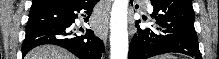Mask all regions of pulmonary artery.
I'll list each match as a JSON object with an SVG mask.
<instances>
[{
    "mask_svg": "<svg viewBox=\"0 0 219 59\" xmlns=\"http://www.w3.org/2000/svg\"><path fill=\"white\" fill-rule=\"evenodd\" d=\"M143 3H144V6H145L146 10L150 11L151 10L150 5L148 4L149 1H143Z\"/></svg>",
    "mask_w": 219,
    "mask_h": 59,
    "instance_id": "pulmonary-artery-1",
    "label": "pulmonary artery"
}]
</instances>
